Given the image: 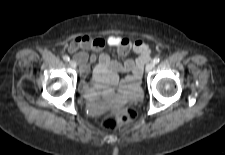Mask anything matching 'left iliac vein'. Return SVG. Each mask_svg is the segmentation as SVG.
<instances>
[{
	"mask_svg": "<svg viewBox=\"0 0 225 155\" xmlns=\"http://www.w3.org/2000/svg\"><path fill=\"white\" fill-rule=\"evenodd\" d=\"M154 66H155L154 62L148 63L146 68H145V71L150 72L154 68Z\"/></svg>",
	"mask_w": 225,
	"mask_h": 155,
	"instance_id": "1",
	"label": "left iliac vein"
}]
</instances>
